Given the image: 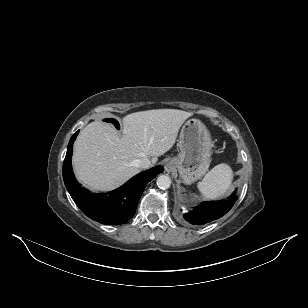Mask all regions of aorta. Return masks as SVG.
Listing matches in <instances>:
<instances>
[{
  "label": "aorta",
  "instance_id": "762f6f07",
  "mask_svg": "<svg viewBox=\"0 0 308 308\" xmlns=\"http://www.w3.org/2000/svg\"><path fill=\"white\" fill-rule=\"evenodd\" d=\"M157 186L160 189H168L171 186V179L167 175H160L157 178Z\"/></svg>",
  "mask_w": 308,
  "mask_h": 308
}]
</instances>
